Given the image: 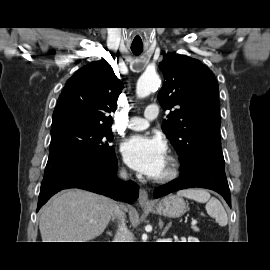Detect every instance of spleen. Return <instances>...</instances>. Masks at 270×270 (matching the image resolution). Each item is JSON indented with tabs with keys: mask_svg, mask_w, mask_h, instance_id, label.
I'll use <instances>...</instances> for the list:
<instances>
[{
	"mask_svg": "<svg viewBox=\"0 0 270 270\" xmlns=\"http://www.w3.org/2000/svg\"><path fill=\"white\" fill-rule=\"evenodd\" d=\"M180 197H186L188 199H193L199 203H206V211L211 216L214 217L216 222L224 227L228 223L227 213L222 206L221 202L211 197L210 193L203 189H185L177 192Z\"/></svg>",
	"mask_w": 270,
	"mask_h": 270,
	"instance_id": "3e777b00",
	"label": "spleen"
}]
</instances>
